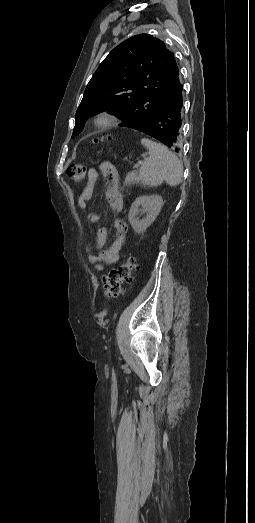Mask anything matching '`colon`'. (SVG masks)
Returning a JSON list of instances; mask_svg holds the SVG:
<instances>
[{
	"instance_id": "obj_1",
	"label": "colon",
	"mask_w": 255,
	"mask_h": 523,
	"mask_svg": "<svg viewBox=\"0 0 255 523\" xmlns=\"http://www.w3.org/2000/svg\"><path fill=\"white\" fill-rule=\"evenodd\" d=\"M109 137H102L95 139L97 143L108 139ZM67 174L75 183H80L85 178L86 168L82 164H71L67 168ZM137 268V261L134 257H129L118 267L110 269L104 277V294L108 299L119 297L123 293L124 285L132 282V273Z\"/></svg>"
}]
</instances>
